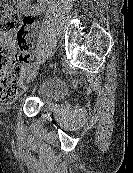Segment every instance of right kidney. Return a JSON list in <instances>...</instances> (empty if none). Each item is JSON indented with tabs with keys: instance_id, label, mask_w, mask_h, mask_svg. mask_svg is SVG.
I'll use <instances>...</instances> for the list:
<instances>
[{
	"instance_id": "right-kidney-1",
	"label": "right kidney",
	"mask_w": 133,
	"mask_h": 173,
	"mask_svg": "<svg viewBox=\"0 0 133 173\" xmlns=\"http://www.w3.org/2000/svg\"><path fill=\"white\" fill-rule=\"evenodd\" d=\"M19 1V7L22 9V10H28V11H31V12H34L35 11V7H32L31 5H29V2L30 0H18ZM41 2H44V1H47V0H40Z\"/></svg>"
}]
</instances>
